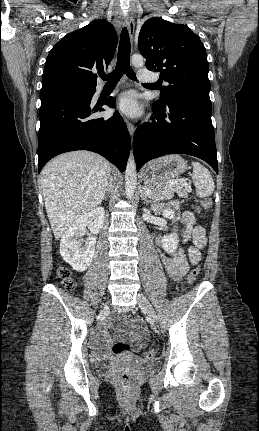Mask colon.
I'll return each mask as SVG.
<instances>
[{"label": "colon", "instance_id": "colon-1", "mask_svg": "<svg viewBox=\"0 0 259 431\" xmlns=\"http://www.w3.org/2000/svg\"><path fill=\"white\" fill-rule=\"evenodd\" d=\"M201 205H192V208H195V211L198 214H201L204 210H208L212 206L211 198H203L200 202ZM59 277L62 279L63 285L67 290H72L75 288V282L69 275V271L66 268H60L58 271ZM199 276V267L194 266L189 272L188 279L190 284H194ZM115 354H121L129 350V346L126 343L117 342L113 345L112 348ZM155 357V351L153 349H149L144 353L145 360H152ZM134 377L132 374L128 372H123L120 374V382L128 387L133 384Z\"/></svg>", "mask_w": 259, "mask_h": 431}]
</instances>
